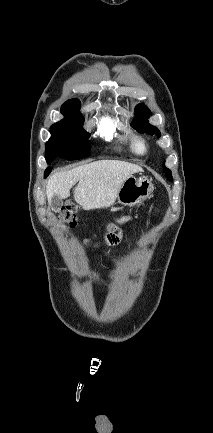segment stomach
<instances>
[{
	"instance_id": "stomach-1",
	"label": "stomach",
	"mask_w": 213,
	"mask_h": 433,
	"mask_svg": "<svg viewBox=\"0 0 213 433\" xmlns=\"http://www.w3.org/2000/svg\"><path fill=\"white\" fill-rule=\"evenodd\" d=\"M153 185L147 177H128L117 192L116 199L120 204L135 206L149 198Z\"/></svg>"
}]
</instances>
